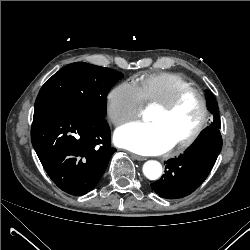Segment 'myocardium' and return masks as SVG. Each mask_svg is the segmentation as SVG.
<instances>
[{
  "label": "myocardium",
  "mask_w": 250,
  "mask_h": 250,
  "mask_svg": "<svg viewBox=\"0 0 250 250\" xmlns=\"http://www.w3.org/2000/svg\"><path fill=\"white\" fill-rule=\"evenodd\" d=\"M192 94L196 95L200 100L202 108L201 120L197 125V127L195 128V130L189 136L175 143L170 149H177V150L185 149L191 146L203 133L208 124L210 116L207 97L200 89L191 86L178 91L166 102L156 105V107L160 109L161 112L169 114L181 103L182 100H184L187 96Z\"/></svg>",
  "instance_id": "obj_1"
}]
</instances>
